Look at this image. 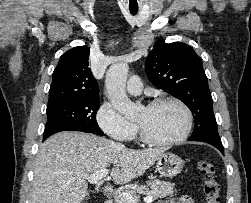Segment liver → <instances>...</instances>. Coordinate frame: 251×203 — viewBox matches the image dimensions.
Returning a JSON list of instances; mask_svg holds the SVG:
<instances>
[{"label": "liver", "mask_w": 251, "mask_h": 203, "mask_svg": "<svg viewBox=\"0 0 251 203\" xmlns=\"http://www.w3.org/2000/svg\"><path fill=\"white\" fill-rule=\"evenodd\" d=\"M166 148L128 149L92 134L59 132L40 145L34 165L31 203H81L88 185L81 175L111 165L117 185L144 174Z\"/></svg>", "instance_id": "liver-1"}]
</instances>
